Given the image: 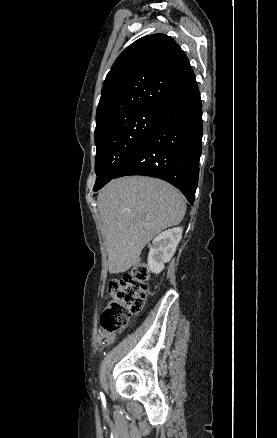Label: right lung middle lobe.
I'll return each instance as SVG.
<instances>
[{"mask_svg": "<svg viewBox=\"0 0 277 438\" xmlns=\"http://www.w3.org/2000/svg\"><path fill=\"white\" fill-rule=\"evenodd\" d=\"M162 110L114 115L96 122L95 188L108 183L147 138Z\"/></svg>", "mask_w": 277, "mask_h": 438, "instance_id": "1", "label": "right lung middle lobe"}]
</instances>
